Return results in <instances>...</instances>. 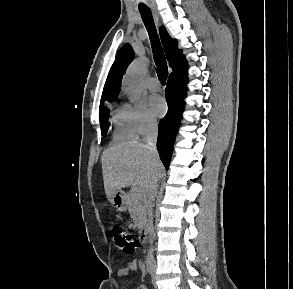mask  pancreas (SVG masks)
<instances>
[{
  "instance_id": "1",
  "label": "pancreas",
  "mask_w": 293,
  "mask_h": 289,
  "mask_svg": "<svg viewBox=\"0 0 293 289\" xmlns=\"http://www.w3.org/2000/svg\"><path fill=\"white\" fill-rule=\"evenodd\" d=\"M127 204L129 213L134 221V226L142 228L146 222L147 200L146 195L138 193L135 190H131L127 194Z\"/></svg>"
}]
</instances>
